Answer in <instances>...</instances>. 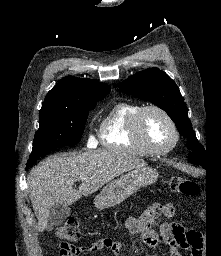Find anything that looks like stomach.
Wrapping results in <instances>:
<instances>
[{"mask_svg": "<svg viewBox=\"0 0 221 256\" xmlns=\"http://www.w3.org/2000/svg\"><path fill=\"white\" fill-rule=\"evenodd\" d=\"M158 172L151 167H141L108 183L95 197L94 204L98 209L113 207L140 188L156 182Z\"/></svg>", "mask_w": 221, "mask_h": 256, "instance_id": "stomach-1", "label": "stomach"}]
</instances>
